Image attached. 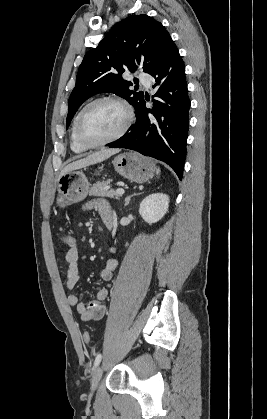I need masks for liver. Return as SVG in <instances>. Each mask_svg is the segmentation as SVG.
<instances>
[{"label":"liver","mask_w":267,"mask_h":419,"mask_svg":"<svg viewBox=\"0 0 267 419\" xmlns=\"http://www.w3.org/2000/svg\"><path fill=\"white\" fill-rule=\"evenodd\" d=\"M120 152V149L111 148V149H102L100 151H96L85 158L76 160L70 164H68L60 173V176L64 175L65 173L81 169L93 164H97L103 162L104 160L108 159L110 156Z\"/></svg>","instance_id":"liver-1"}]
</instances>
